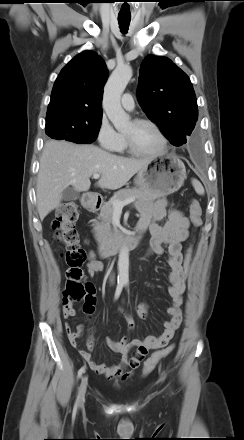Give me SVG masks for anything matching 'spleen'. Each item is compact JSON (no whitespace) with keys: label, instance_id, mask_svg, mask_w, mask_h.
I'll return each instance as SVG.
<instances>
[{"label":"spleen","instance_id":"1","mask_svg":"<svg viewBox=\"0 0 244 440\" xmlns=\"http://www.w3.org/2000/svg\"><path fill=\"white\" fill-rule=\"evenodd\" d=\"M192 185H193L197 194L204 195V193H205L204 187L197 179H195V178L192 179Z\"/></svg>","mask_w":244,"mask_h":440}]
</instances>
